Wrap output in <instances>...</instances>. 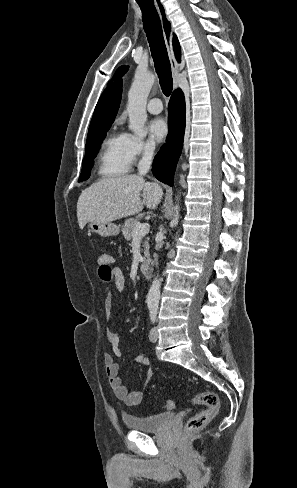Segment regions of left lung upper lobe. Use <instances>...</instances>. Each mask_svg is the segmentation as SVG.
Listing matches in <instances>:
<instances>
[{
    "label": "left lung upper lobe",
    "mask_w": 297,
    "mask_h": 488,
    "mask_svg": "<svg viewBox=\"0 0 297 488\" xmlns=\"http://www.w3.org/2000/svg\"><path fill=\"white\" fill-rule=\"evenodd\" d=\"M128 68L125 67V66H121L117 71H116V74H115V77L117 76H123L126 72H127Z\"/></svg>",
    "instance_id": "obj_1"
}]
</instances>
